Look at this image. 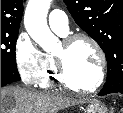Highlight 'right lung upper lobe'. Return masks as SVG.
Segmentation results:
<instances>
[{
    "instance_id": "obj_1",
    "label": "right lung upper lobe",
    "mask_w": 123,
    "mask_h": 113,
    "mask_svg": "<svg viewBox=\"0 0 123 113\" xmlns=\"http://www.w3.org/2000/svg\"><path fill=\"white\" fill-rule=\"evenodd\" d=\"M22 13V0H1V32L19 31Z\"/></svg>"
}]
</instances>
